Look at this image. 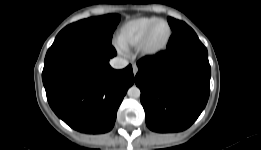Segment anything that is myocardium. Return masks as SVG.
<instances>
[{
  "instance_id": "myocardium-1",
  "label": "myocardium",
  "mask_w": 261,
  "mask_h": 150,
  "mask_svg": "<svg viewBox=\"0 0 261 150\" xmlns=\"http://www.w3.org/2000/svg\"><path fill=\"white\" fill-rule=\"evenodd\" d=\"M159 23H165L168 27V35H167V38L165 40V42L160 46V47H157V48H151L149 46V38H150V35H151V32L153 31L154 27L159 24ZM172 35H173V30H172V27L171 25L169 24V22L165 19H158L156 20L154 23H152L148 28L147 30L145 31V33L143 34L139 44H138V51L140 52L141 55L145 56V57H155V56H158L160 55L161 53H163L170 41H171V38H172Z\"/></svg>"
}]
</instances>
